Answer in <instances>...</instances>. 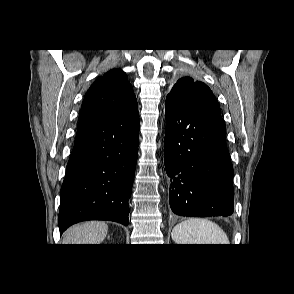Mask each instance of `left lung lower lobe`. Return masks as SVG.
I'll list each match as a JSON object with an SVG mask.
<instances>
[{
	"mask_svg": "<svg viewBox=\"0 0 294 294\" xmlns=\"http://www.w3.org/2000/svg\"><path fill=\"white\" fill-rule=\"evenodd\" d=\"M165 113L171 210L180 216L231 215L233 167L221 110H190L166 99Z\"/></svg>",
	"mask_w": 294,
	"mask_h": 294,
	"instance_id": "1",
	"label": "left lung lower lobe"
}]
</instances>
